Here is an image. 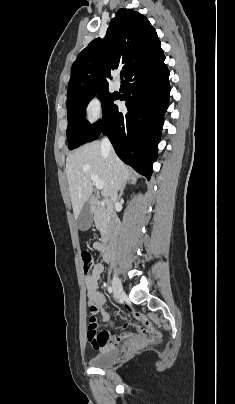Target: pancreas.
I'll return each mask as SVG.
<instances>
[{
    "label": "pancreas",
    "instance_id": "pancreas-1",
    "mask_svg": "<svg viewBox=\"0 0 235 404\" xmlns=\"http://www.w3.org/2000/svg\"><path fill=\"white\" fill-rule=\"evenodd\" d=\"M94 220L97 229L100 230L101 233L105 231V213L103 211H97L94 215Z\"/></svg>",
    "mask_w": 235,
    "mask_h": 404
}]
</instances>
